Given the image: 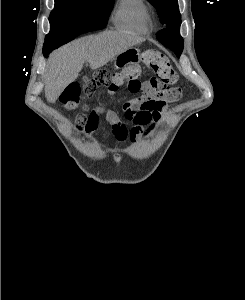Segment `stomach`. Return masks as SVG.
<instances>
[{
	"label": "stomach",
	"mask_w": 245,
	"mask_h": 300,
	"mask_svg": "<svg viewBox=\"0 0 245 300\" xmlns=\"http://www.w3.org/2000/svg\"><path fill=\"white\" fill-rule=\"evenodd\" d=\"M140 61V50L131 47L121 52L114 58V66L116 69H122L129 64H136Z\"/></svg>",
	"instance_id": "1"
}]
</instances>
